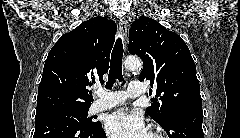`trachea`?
Instances as JSON below:
<instances>
[{
	"label": "trachea",
	"mask_w": 240,
	"mask_h": 138,
	"mask_svg": "<svg viewBox=\"0 0 240 138\" xmlns=\"http://www.w3.org/2000/svg\"><path fill=\"white\" fill-rule=\"evenodd\" d=\"M122 57L123 44L122 40L118 38L111 54L110 70L108 75V82L106 84L107 89H111L116 80L123 82ZM122 84H124V82Z\"/></svg>",
	"instance_id": "1"
}]
</instances>
